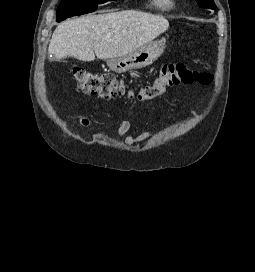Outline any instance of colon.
<instances>
[{
	"label": "colon",
	"instance_id": "obj_1",
	"mask_svg": "<svg viewBox=\"0 0 255 272\" xmlns=\"http://www.w3.org/2000/svg\"><path fill=\"white\" fill-rule=\"evenodd\" d=\"M71 72L78 89L84 93L103 99H111L124 93L123 78L114 73H97L84 68H74ZM212 79V74L192 70L182 63L166 64L159 69L152 83L139 89L136 98L150 101L176 85L195 82L207 84Z\"/></svg>",
	"mask_w": 255,
	"mask_h": 272
}]
</instances>
